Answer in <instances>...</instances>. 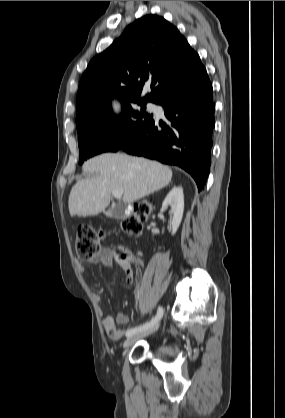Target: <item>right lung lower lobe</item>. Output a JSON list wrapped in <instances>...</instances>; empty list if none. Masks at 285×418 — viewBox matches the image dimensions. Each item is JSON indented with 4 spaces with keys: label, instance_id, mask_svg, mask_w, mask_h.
<instances>
[{
    "label": "right lung lower lobe",
    "instance_id": "right-lung-lower-lobe-1",
    "mask_svg": "<svg viewBox=\"0 0 285 418\" xmlns=\"http://www.w3.org/2000/svg\"><path fill=\"white\" fill-rule=\"evenodd\" d=\"M212 84L206 69L165 95L157 104L170 126L152 119L118 150L177 165L204 188L210 172L212 131L215 126Z\"/></svg>",
    "mask_w": 285,
    "mask_h": 418
}]
</instances>
